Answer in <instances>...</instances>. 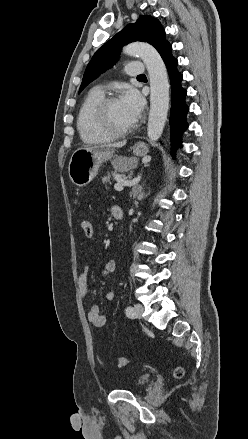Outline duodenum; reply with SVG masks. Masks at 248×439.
Here are the masks:
<instances>
[{"label":"duodenum","instance_id":"1","mask_svg":"<svg viewBox=\"0 0 248 439\" xmlns=\"http://www.w3.org/2000/svg\"><path fill=\"white\" fill-rule=\"evenodd\" d=\"M112 214L116 220H122L124 217L123 208L121 206H117V205L114 206Z\"/></svg>","mask_w":248,"mask_h":439}]
</instances>
